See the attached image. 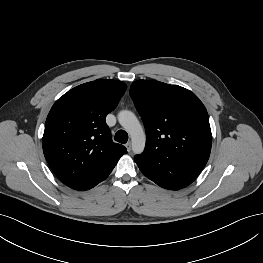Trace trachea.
<instances>
[{"label":"trachea","mask_w":263,"mask_h":263,"mask_svg":"<svg viewBox=\"0 0 263 263\" xmlns=\"http://www.w3.org/2000/svg\"><path fill=\"white\" fill-rule=\"evenodd\" d=\"M115 141L125 144L128 141V134L124 130H119L115 134Z\"/></svg>","instance_id":"3493384b"}]
</instances>
